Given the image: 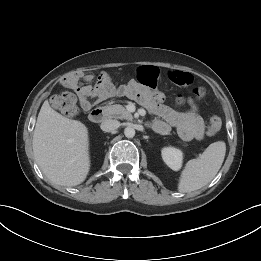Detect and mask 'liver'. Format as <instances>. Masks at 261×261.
Masks as SVG:
<instances>
[{
  "label": "liver",
  "mask_w": 261,
  "mask_h": 261,
  "mask_svg": "<svg viewBox=\"0 0 261 261\" xmlns=\"http://www.w3.org/2000/svg\"><path fill=\"white\" fill-rule=\"evenodd\" d=\"M32 147L35 160L54 184L76 186L90 170L87 127L53 110L46 100L38 114Z\"/></svg>",
  "instance_id": "obj_1"
}]
</instances>
